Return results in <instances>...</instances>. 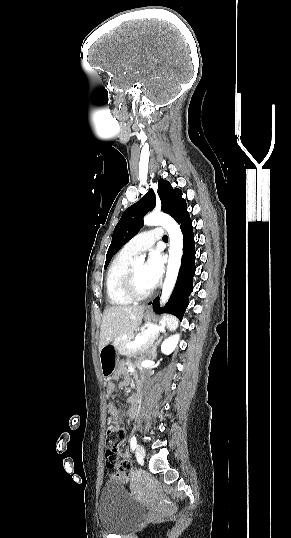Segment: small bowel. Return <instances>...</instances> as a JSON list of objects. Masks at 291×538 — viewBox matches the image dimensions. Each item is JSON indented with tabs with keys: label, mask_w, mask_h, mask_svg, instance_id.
<instances>
[{
	"label": "small bowel",
	"mask_w": 291,
	"mask_h": 538,
	"mask_svg": "<svg viewBox=\"0 0 291 538\" xmlns=\"http://www.w3.org/2000/svg\"><path fill=\"white\" fill-rule=\"evenodd\" d=\"M121 375V370H118L114 376V379H118L119 376ZM121 386H124L126 385V381H122L120 383ZM115 391V384H114V381L113 380H109L107 382V385H106V394L107 395H112ZM137 403H138V395L135 394V395H132L131 397H129L128 399V410H127V414L129 416H132L135 414V411H136V408H137ZM108 412L111 416L115 417V418H119V416L121 415V411L119 408H117L115 406L114 403L110 402L108 404ZM123 440H121V442L119 443V445H121L123 443ZM118 456L121 457V458H128L129 457V453L127 451H120L118 450Z\"/></svg>",
	"instance_id": "c3829d8e"
}]
</instances>
